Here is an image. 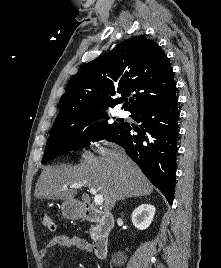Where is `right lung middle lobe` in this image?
Listing matches in <instances>:
<instances>
[{
	"label": "right lung middle lobe",
	"mask_w": 221,
	"mask_h": 268,
	"mask_svg": "<svg viewBox=\"0 0 221 268\" xmlns=\"http://www.w3.org/2000/svg\"><path fill=\"white\" fill-rule=\"evenodd\" d=\"M103 117L108 119L105 112H98L71 119L55 120L48 138L42 163L57 155L70 150L83 148L91 139H106L108 135L124 123L91 122ZM87 129L82 134L84 127Z\"/></svg>",
	"instance_id": "dd1d6c3e"
}]
</instances>
